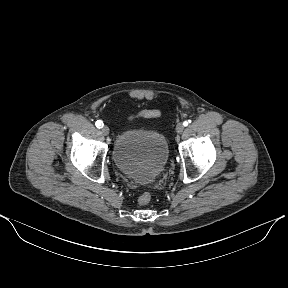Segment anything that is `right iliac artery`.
I'll list each match as a JSON object with an SVG mask.
<instances>
[{
  "label": "right iliac artery",
  "mask_w": 288,
  "mask_h": 288,
  "mask_svg": "<svg viewBox=\"0 0 288 288\" xmlns=\"http://www.w3.org/2000/svg\"><path fill=\"white\" fill-rule=\"evenodd\" d=\"M95 125H96L97 128L100 129V128L103 127V122H102L101 120H97L96 123H95Z\"/></svg>",
  "instance_id": "1"
}]
</instances>
